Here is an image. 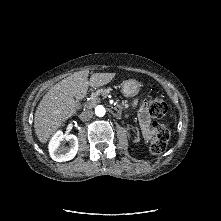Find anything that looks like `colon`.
I'll return each mask as SVG.
<instances>
[{
  "instance_id": "colon-1",
  "label": "colon",
  "mask_w": 221,
  "mask_h": 221,
  "mask_svg": "<svg viewBox=\"0 0 221 221\" xmlns=\"http://www.w3.org/2000/svg\"><path fill=\"white\" fill-rule=\"evenodd\" d=\"M149 114L154 118H161L167 113V104L159 96L157 92H152L147 100ZM155 136L150 143V152L153 155H158L166 149L170 138L169 130L160 122L155 121L152 124Z\"/></svg>"
}]
</instances>
